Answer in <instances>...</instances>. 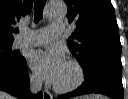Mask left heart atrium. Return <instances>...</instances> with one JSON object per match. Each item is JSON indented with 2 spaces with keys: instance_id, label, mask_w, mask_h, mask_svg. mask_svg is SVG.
I'll return each instance as SVG.
<instances>
[{
  "instance_id": "obj_1",
  "label": "left heart atrium",
  "mask_w": 128,
  "mask_h": 99,
  "mask_svg": "<svg viewBox=\"0 0 128 99\" xmlns=\"http://www.w3.org/2000/svg\"><path fill=\"white\" fill-rule=\"evenodd\" d=\"M29 61L31 67L51 83H56L67 63L63 52L59 49L47 52L35 51Z\"/></svg>"
}]
</instances>
